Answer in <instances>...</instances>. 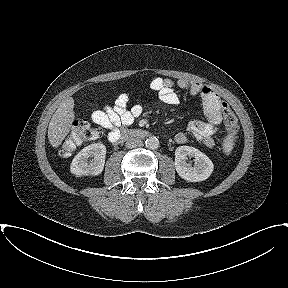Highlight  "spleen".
<instances>
[{
  "label": "spleen",
  "instance_id": "obj_1",
  "mask_svg": "<svg viewBox=\"0 0 288 288\" xmlns=\"http://www.w3.org/2000/svg\"><path fill=\"white\" fill-rule=\"evenodd\" d=\"M232 141L230 138H227L225 140V143H224V151L225 153H229V151L232 149Z\"/></svg>",
  "mask_w": 288,
  "mask_h": 288
}]
</instances>
